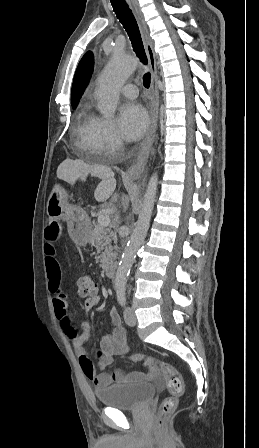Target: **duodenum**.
<instances>
[{
	"mask_svg": "<svg viewBox=\"0 0 259 448\" xmlns=\"http://www.w3.org/2000/svg\"><path fill=\"white\" fill-rule=\"evenodd\" d=\"M117 268H118V266L116 263L109 264L105 269V273H106L107 277H109L111 279L115 278L116 274H117Z\"/></svg>",
	"mask_w": 259,
	"mask_h": 448,
	"instance_id": "410a0bca",
	"label": "duodenum"
}]
</instances>
